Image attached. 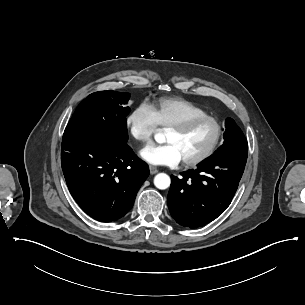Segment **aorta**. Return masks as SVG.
<instances>
[{
    "label": "aorta",
    "instance_id": "aorta-1",
    "mask_svg": "<svg viewBox=\"0 0 305 305\" xmlns=\"http://www.w3.org/2000/svg\"><path fill=\"white\" fill-rule=\"evenodd\" d=\"M155 140L157 142L162 141V135L156 134ZM171 184L170 177L165 173H159L154 177V185L161 190L167 189Z\"/></svg>",
    "mask_w": 305,
    "mask_h": 305
}]
</instances>
